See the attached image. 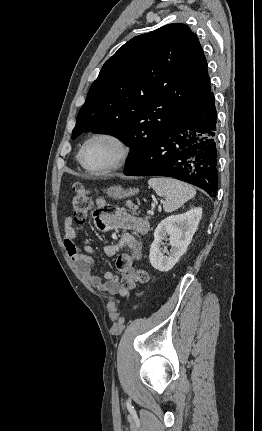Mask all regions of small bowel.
<instances>
[{
    "label": "small bowel",
    "mask_w": 262,
    "mask_h": 431,
    "mask_svg": "<svg viewBox=\"0 0 262 431\" xmlns=\"http://www.w3.org/2000/svg\"><path fill=\"white\" fill-rule=\"evenodd\" d=\"M98 209H103L106 202L103 198L95 201ZM73 219L67 217L64 221V244L70 260L75 265L80 275L94 288L103 294L124 298L127 293L122 290L121 277L130 276L133 272L132 265L142 256V243L138 236L145 237L149 230L148 221L140 215H133L127 210H116L111 215L98 213L95 216L96 226L105 231H123L116 243L107 245L104 253L107 257H115L121 249H129L131 254H121L117 260L120 275L105 272L102 277L95 273L93 256L94 249L89 245L82 247L76 243V230ZM131 231H135L136 234Z\"/></svg>",
    "instance_id": "c3829d8e"
}]
</instances>
